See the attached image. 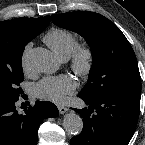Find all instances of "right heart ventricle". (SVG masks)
Listing matches in <instances>:
<instances>
[{"instance_id":"obj_1","label":"right heart ventricle","mask_w":145,"mask_h":145,"mask_svg":"<svg viewBox=\"0 0 145 145\" xmlns=\"http://www.w3.org/2000/svg\"><path fill=\"white\" fill-rule=\"evenodd\" d=\"M44 41L62 59H67L78 45L77 37L64 28L50 29L45 34Z\"/></svg>"}]
</instances>
